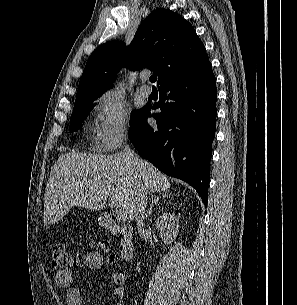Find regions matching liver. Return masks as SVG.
<instances>
[{
	"label": "liver",
	"instance_id": "6515ba94",
	"mask_svg": "<svg viewBox=\"0 0 297 305\" xmlns=\"http://www.w3.org/2000/svg\"><path fill=\"white\" fill-rule=\"evenodd\" d=\"M141 177L147 190L166 192L171 184L165 174L141 160ZM138 180L127 165L124 153L97 155L68 152L59 156L51 169L44 198V225L62 219L72 206L101 210L107 199L134 216Z\"/></svg>",
	"mask_w": 297,
	"mask_h": 305
}]
</instances>
